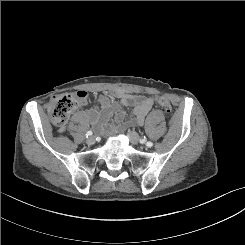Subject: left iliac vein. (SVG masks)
I'll use <instances>...</instances> for the list:
<instances>
[{"mask_svg":"<svg viewBox=\"0 0 245 245\" xmlns=\"http://www.w3.org/2000/svg\"><path fill=\"white\" fill-rule=\"evenodd\" d=\"M128 136H129L132 144H138L139 143L140 139H139V136L136 132L128 131Z\"/></svg>","mask_w":245,"mask_h":245,"instance_id":"obj_1","label":"left iliac vein"}]
</instances>
